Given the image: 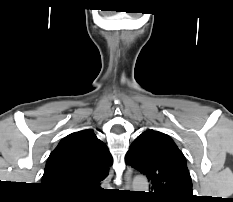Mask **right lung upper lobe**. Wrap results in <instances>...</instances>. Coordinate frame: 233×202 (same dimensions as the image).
<instances>
[{
    "label": "right lung upper lobe",
    "instance_id": "right-lung-upper-lobe-1",
    "mask_svg": "<svg viewBox=\"0 0 233 202\" xmlns=\"http://www.w3.org/2000/svg\"><path fill=\"white\" fill-rule=\"evenodd\" d=\"M111 162L106 145L92 130L75 132L50 154L42 185L58 196L87 197L99 190Z\"/></svg>",
    "mask_w": 233,
    "mask_h": 202
}]
</instances>
